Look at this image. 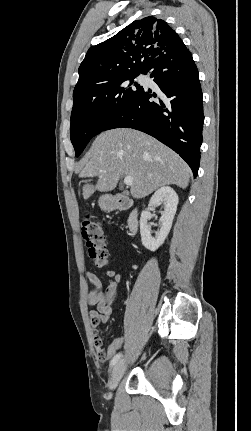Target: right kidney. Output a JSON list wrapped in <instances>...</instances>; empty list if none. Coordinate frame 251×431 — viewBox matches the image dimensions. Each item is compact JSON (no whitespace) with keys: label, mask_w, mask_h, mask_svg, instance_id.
Instances as JSON below:
<instances>
[{"label":"right kidney","mask_w":251,"mask_h":431,"mask_svg":"<svg viewBox=\"0 0 251 431\" xmlns=\"http://www.w3.org/2000/svg\"><path fill=\"white\" fill-rule=\"evenodd\" d=\"M178 196L176 192L169 186L159 188L151 197L148 209L160 202L164 204V212L160 218L161 228L156 237L151 236V229L147 225L148 219L151 218V213L148 210H143L140 217V234L143 246L150 250L156 251L165 241L172 227V222L177 210Z\"/></svg>","instance_id":"1"}]
</instances>
